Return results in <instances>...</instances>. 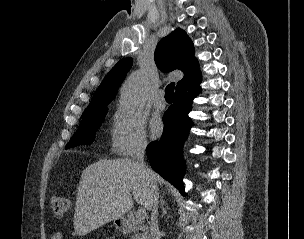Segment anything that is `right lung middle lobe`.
Here are the masks:
<instances>
[{
  "label": "right lung middle lobe",
  "instance_id": "1",
  "mask_svg": "<svg viewBox=\"0 0 304 239\" xmlns=\"http://www.w3.org/2000/svg\"><path fill=\"white\" fill-rule=\"evenodd\" d=\"M107 110L105 105L85 112L82 115L83 120L81 121L77 132L65 148L69 149L76 145L91 144L94 140V133L102 124Z\"/></svg>",
  "mask_w": 304,
  "mask_h": 239
}]
</instances>
